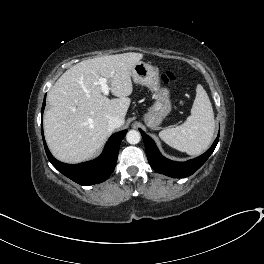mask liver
<instances>
[{
  "label": "liver",
  "instance_id": "6515ba94",
  "mask_svg": "<svg viewBox=\"0 0 264 264\" xmlns=\"http://www.w3.org/2000/svg\"><path fill=\"white\" fill-rule=\"evenodd\" d=\"M142 58L134 52L96 57L61 75L48 93L50 108L44 114L45 139L56 159L75 164L90 158L110 135V118L124 121L133 91L131 69ZM100 77L108 79L117 98L101 93Z\"/></svg>",
  "mask_w": 264,
  "mask_h": 264
}]
</instances>
